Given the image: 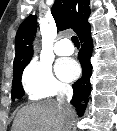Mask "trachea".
Masks as SVG:
<instances>
[{"label":"trachea","instance_id":"obj_1","mask_svg":"<svg viewBox=\"0 0 117 131\" xmlns=\"http://www.w3.org/2000/svg\"><path fill=\"white\" fill-rule=\"evenodd\" d=\"M71 40H72V42L75 46H80V43H79L77 36H72Z\"/></svg>","mask_w":117,"mask_h":131}]
</instances>
